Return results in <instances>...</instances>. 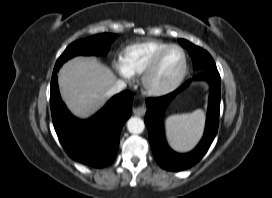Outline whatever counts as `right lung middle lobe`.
<instances>
[{
  "label": "right lung middle lobe",
  "instance_id": "dd1d6c3e",
  "mask_svg": "<svg viewBox=\"0 0 272 198\" xmlns=\"http://www.w3.org/2000/svg\"><path fill=\"white\" fill-rule=\"evenodd\" d=\"M116 36L110 33L95 35L87 39L78 40L69 45L63 54L59 57L54 67L59 70V67L68 59L76 55H105L107 54L111 43Z\"/></svg>",
  "mask_w": 272,
  "mask_h": 198
}]
</instances>
